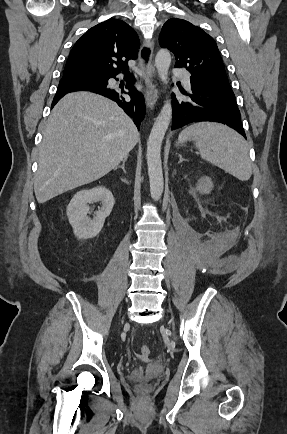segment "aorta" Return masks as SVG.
<instances>
[{"mask_svg": "<svg viewBox=\"0 0 287 434\" xmlns=\"http://www.w3.org/2000/svg\"><path fill=\"white\" fill-rule=\"evenodd\" d=\"M171 64V55L168 50L161 49L155 57V67L160 79L168 82V70ZM172 118L171 100L165 101L158 117L152 127L147 141V165L150 181V194L153 200L158 201L163 193L164 180L161 163V145Z\"/></svg>", "mask_w": 287, "mask_h": 434, "instance_id": "obj_1", "label": "aorta"}]
</instances>
